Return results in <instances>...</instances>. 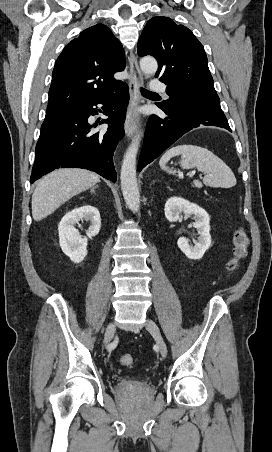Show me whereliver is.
Instances as JSON below:
<instances>
[{"label":"liver","instance_id":"obj_1","mask_svg":"<svg viewBox=\"0 0 272 452\" xmlns=\"http://www.w3.org/2000/svg\"><path fill=\"white\" fill-rule=\"evenodd\" d=\"M100 182L99 176L85 169L62 168L41 179L32 195V216L40 221L62 204Z\"/></svg>","mask_w":272,"mask_h":452}]
</instances>
